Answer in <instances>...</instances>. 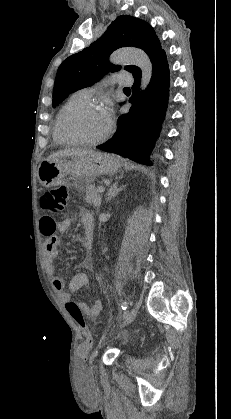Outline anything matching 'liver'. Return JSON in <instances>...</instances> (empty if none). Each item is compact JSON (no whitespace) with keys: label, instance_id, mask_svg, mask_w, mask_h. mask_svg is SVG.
Masks as SVG:
<instances>
[{"label":"liver","instance_id":"liver-1","mask_svg":"<svg viewBox=\"0 0 231 419\" xmlns=\"http://www.w3.org/2000/svg\"><path fill=\"white\" fill-rule=\"evenodd\" d=\"M93 153L92 150L88 149H80V148H67L64 150H59L58 152L50 155L47 159H54V158H64V157H74V156H85L88 154Z\"/></svg>","mask_w":231,"mask_h":419}]
</instances>
